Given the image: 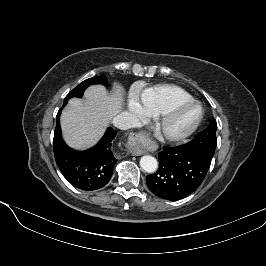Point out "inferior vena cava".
Returning a JSON list of instances; mask_svg holds the SVG:
<instances>
[{
  "label": "inferior vena cava",
  "mask_w": 266,
  "mask_h": 266,
  "mask_svg": "<svg viewBox=\"0 0 266 266\" xmlns=\"http://www.w3.org/2000/svg\"><path fill=\"white\" fill-rule=\"evenodd\" d=\"M112 123L115 127L121 130L138 127L140 124L139 119L129 112H121L120 114L116 115L113 118Z\"/></svg>",
  "instance_id": "602c4592"
}]
</instances>
